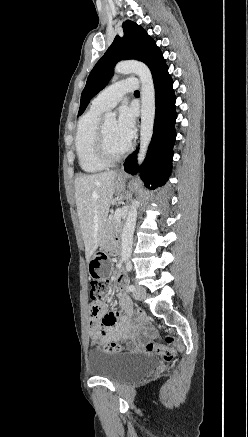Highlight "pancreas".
Returning <instances> with one entry per match:
<instances>
[{
  "label": "pancreas",
  "instance_id": "1",
  "mask_svg": "<svg viewBox=\"0 0 248 437\" xmlns=\"http://www.w3.org/2000/svg\"><path fill=\"white\" fill-rule=\"evenodd\" d=\"M120 225L121 222L116 220L115 215L111 216L106 222L107 236H115L120 228Z\"/></svg>",
  "mask_w": 248,
  "mask_h": 437
}]
</instances>
